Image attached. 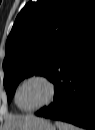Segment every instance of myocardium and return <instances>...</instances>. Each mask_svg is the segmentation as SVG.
<instances>
[{"mask_svg": "<svg viewBox=\"0 0 95 130\" xmlns=\"http://www.w3.org/2000/svg\"><path fill=\"white\" fill-rule=\"evenodd\" d=\"M33 80H38V81H41L46 84V86L48 87V97L40 105H38L34 108L26 109V108H23L20 106V104L18 102V95H19V91L22 88V86L24 84H26L27 82L33 81ZM55 91H56L55 84L49 77H47L43 74H33V75H30V76L26 77L25 79H23L22 82L18 85V87L15 91V95H14V101H15L16 106L20 110H22L24 112H34V111H37V110L43 108L44 106H47L48 104H50L55 96Z\"/></svg>", "mask_w": 95, "mask_h": 130, "instance_id": "obj_1", "label": "myocardium"}]
</instances>
